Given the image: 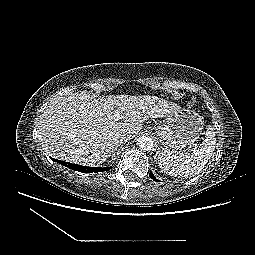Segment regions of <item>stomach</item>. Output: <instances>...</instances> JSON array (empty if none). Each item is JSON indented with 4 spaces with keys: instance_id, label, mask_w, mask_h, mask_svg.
I'll list each match as a JSON object with an SVG mask.
<instances>
[{
    "instance_id": "stomach-1",
    "label": "stomach",
    "mask_w": 255,
    "mask_h": 255,
    "mask_svg": "<svg viewBox=\"0 0 255 255\" xmlns=\"http://www.w3.org/2000/svg\"><path fill=\"white\" fill-rule=\"evenodd\" d=\"M202 117L195 111L175 106L156 125V133L166 149L173 152L192 145L202 134Z\"/></svg>"
}]
</instances>
